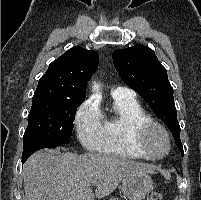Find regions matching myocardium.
<instances>
[{
	"mask_svg": "<svg viewBox=\"0 0 201 200\" xmlns=\"http://www.w3.org/2000/svg\"><path fill=\"white\" fill-rule=\"evenodd\" d=\"M152 128H157L160 131H162V133L165 135L166 140H167V150L163 155H161L159 157H154V156L150 155L149 150L146 145V135H147L148 131ZM133 141H134V144L136 145V147L142 151L145 158L148 160H152V161H160V160L165 159L170 154L171 149H172V139H171L170 133L167 130V128L163 124H161L155 120H152L150 118L146 119L144 121H141L134 126Z\"/></svg>",
	"mask_w": 201,
	"mask_h": 200,
	"instance_id": "obj_1",
	"label": "myocardium"
}]
</instances>
